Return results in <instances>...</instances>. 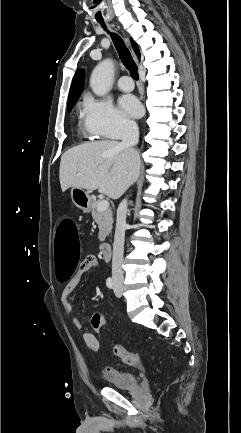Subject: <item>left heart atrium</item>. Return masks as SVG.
Wrapping results in <instances>:
<instances>
[{
	"label": "left heart atrium",
	"instance_id": "39dd6f15",
	"mask_svg": "<svg viewBox=\"0 0 241 433\" xmlns=\"http://www.w3.org/2000/svg\"><path fill=\"white\" fill-rule=\"evenodd\" d=\"M119 106L123 113L131 117H137L141 112L139 101L132 95H124L119 100Z\"/></svg>",
	"mask_w": 241,
	"mask_h": 433
}]
</instances>
